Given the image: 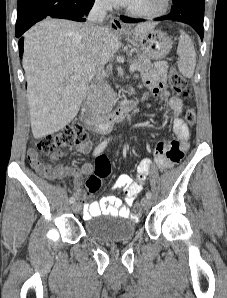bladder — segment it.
I'll return each mask as SVG.
<instances>
[{
    "instance_id": "1",
    "label": "bladder",
    "mask_w": 227,
    "mask_h": 298,
    "mask_svg": "<svg viewBox=\"0 0 227 298\" xmlns=\"http://www.w3.org/2000/svg\"><path fill=\"white\" fill-rule=\"evenodd\" d=\"M87 234L102 244H115L131 240L136 234V224L129 219H90L85 224Z\"/></svg>"
}]
</instances>
